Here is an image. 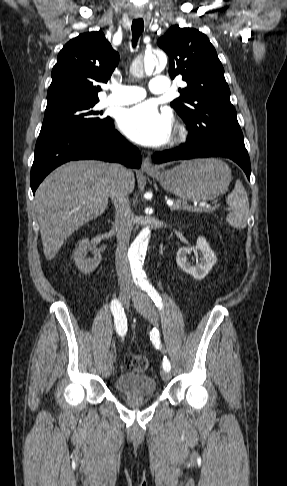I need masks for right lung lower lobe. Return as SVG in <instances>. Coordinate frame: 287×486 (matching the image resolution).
Listing matches in <instances>:
<instances>
[{
	"label": "right lung lower lobe",
	"mask_w": 287,
	"mask_h": 486,
	"mask_svg": "<svg viewBox=\"0 0 287 486\" xmlns=\"http://www.w3.org/2000/svg\"><path fill=\"white\" fill-rule=\"evenodd\" d=\"M81 159L120 162L130 168L141 166L139 150L114 129V122L109 118L103 126L88 131L39 136L31 169L33 193L53 169Z\"/></svg>",
	"instance_id": "98d812e1"
}]
</instances>
